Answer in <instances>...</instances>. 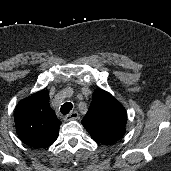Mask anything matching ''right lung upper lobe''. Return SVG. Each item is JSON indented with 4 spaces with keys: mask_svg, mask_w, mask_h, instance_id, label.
Returning a JSON list of instances; mask_svg holds the SVG:
<instances>
[{
    "mask_svg": "<svg viewBox=\"0 0 171 171\" xmlns=\"http://www.w3.org/2000/svg\"><path fill=\"white\" fill-rule=\"evenodd\" d=\"M16 131L21 141L34 148H46L58 137L61 122L49 105L47 91H39L16 106Z\"/></svg>",
    "mask_w": 171,
    "mask_h": 171,
    "instance_id": "right-lung-upper-lobe-1",
    "label": "right lung upper lobe"
}]
</instances>
